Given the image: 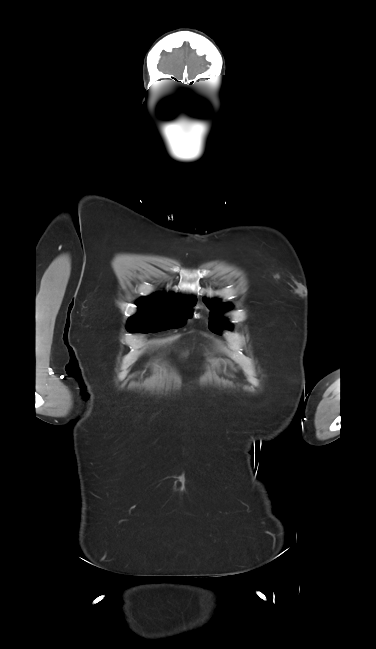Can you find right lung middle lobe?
Instances as JSON below:
<instances>
[{"instance_id": "obj_1", "label": "right lung middle lobe", "mask_w": 376, "mask_h": 649, "mask_svg": "<svg viewBox=\"0 0 376 649\" xmlns=\"http://www.w3.org/2000/svg\"><path fill=\"white\" fill-rule=\"evenodd\" d=\"M196 304L194 297L184 298L174 293H155L137 301L138 313L128 319L129 332H158L179 328L191 316Z\"/></svg>"}]
</instances>
